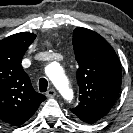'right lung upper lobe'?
<instances>
[{"instance_id":"cb5924a9","label":"right lung upper lobe","mask_w":133,"mask_h":133,"mask_svg":"<svg viewBox=\"0 0 133 133\" xmlns=\"http://www.w3.org/2000/svg\"><path fill=\"white\" fill-rule=\"evenodd\" d=\"M36 35L21 32L0 41V120L18 126L26 122L46 99L37 93L21 61Z\"/></svg>"}]
</instances>
